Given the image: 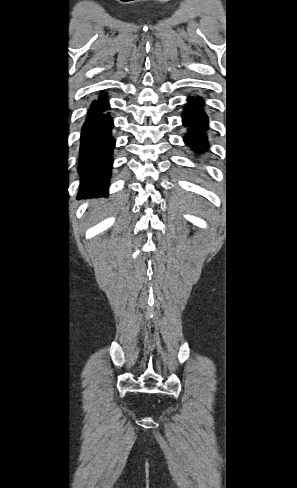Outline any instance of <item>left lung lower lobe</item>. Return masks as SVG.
<instances>
[{"label":"left lung lower lobe","instance_id":"0a47b994","mask_svg":"<svg viewBox=\"0 0 297 488\" xmlns=\"http://www.w3.org/2000/svg\"><path fill=\"white\" fill-rule=\"evenodd\" d=\"M188 102L183 113V124L189 127V131L184 141L196 151L204 152L208 146L207 138L203 133L208 127L207 116L202 110L204 102L200 97L195 100L188 98Z\"/></svg>","mask_w":297,"mask_h":488}]
</instances>
